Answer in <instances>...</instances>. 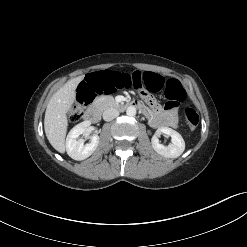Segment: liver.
<instances>
[{
	"instance_id": "6515ba94",
	"label": "liver",
	"mask_w": 247,
	"mask_h": 247,
	"mask_svg": "<svg viewBox=\"0 0 247 247\" xmlns=\"http://www.w3.org/2000/svg\"><path fill=\"white\" fill-rule=\"evenodd\" d=\"M82 77L69 80L51 97L45 112L44 129L50 144L59 153L65 152L68 127L67 112L75 100V90Z\"/></svg>"
}]
</instances>
